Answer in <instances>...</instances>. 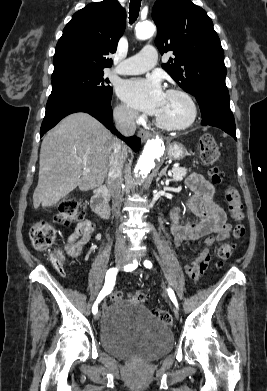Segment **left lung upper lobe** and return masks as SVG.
<instances>
[{"mask_svg":"<svg viewBox=\"0 0 267 391\" xmlns=\"http://www.w3.org/2000/svg\"><path fill=\"white\" fill-rule=\"evenodd\" d=\"M152 18L158 28L155 44L161 54L172 51L162 68L186 92H228L224 52L205 10L190 0H157Z\"/></svg>","mask_w":267,"mask_h":391,"instance_id":"left-lung-upper-lobe-1","label":"left lung upper lobe"}]
</instances>
